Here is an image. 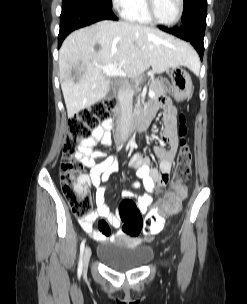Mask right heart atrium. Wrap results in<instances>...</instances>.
Listing matches in <instances>:
<instances>
[{
    "label": "right heart atrium",
    "instance_id": "obj_1",
    "mask_svg": "<svg viewBox=\"0 0 247 304\" xmlns=\"http://www.w3.org/2000/svg\"><path fill=\"white\" fill-rule=\"evenodd\" d=\"M134 0H112V4L118 11L124 12Z\"/></svg>",
    "mask_w": 247,
    "mask_h": 304
}]
</instances>
